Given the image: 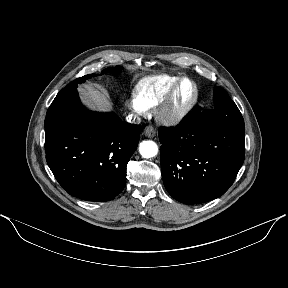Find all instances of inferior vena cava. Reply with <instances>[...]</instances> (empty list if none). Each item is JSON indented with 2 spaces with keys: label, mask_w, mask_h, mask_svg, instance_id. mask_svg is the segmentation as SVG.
I'll return each instance as SVG.
<instances>
[{
  "label": "inferior vena cava",
  "mask_w": 288,
  "mask_h": 288,
  "mask_svg": "<svg viewBox=\"0 0 288 288\" xmlns=\"http://www.w3.org/2000/svg\"><path fill=\"white\" fill-rule=\"evenodd\" d=\"M126 120H127V122L134 123V124H139L141 122V118L136 116V115H133V114H129L126 117Z\"/></svg>",
  "instance_id": "602c4592"
}]
</instances>
